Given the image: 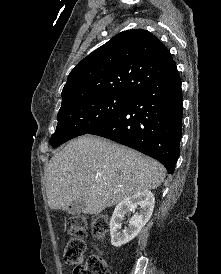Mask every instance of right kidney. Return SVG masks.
<instances>
[{"label": "right kidney", "instance_id": "right-kidney-1", "mask_svg": "<svg viewBox=\"0 0 221 274\" xmlns=\"http://www.w3.org/2000/svg\"><path fill=\"white\" fill-rule=\"evenodd\" d=\"M154 203L155 198L153 193L145 190L122 200L116 206L110 220L111 244L114 247H121L138 235L150 219L154 209ZM137 207H139V212L132 216L128 227L121 231L124 216L130 211L134 212Z\"/></svg>", "mask_w": 221, "mask_h": 274}]
</instances>
